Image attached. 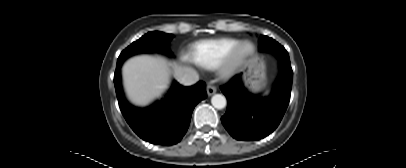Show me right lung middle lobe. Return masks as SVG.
Returning <instances> with one entry per match:
<instances>
[{
    "label": "right lung middle lobe",
    "mask_w": 406,
    "mask_h": 168,
    "mask_svg": "<svg viewBox=\"0 0 406 168\" xmlns=\"http://www.w3.org/2000/svg\"><path fill=\"white\" fill-rule=\"evenodd\" d=\"M172 38V34H166L159 31L149 32L121 52L117 60V65H121L129 57L141 53L157 52L172 56L169 49Z\"/></svg>",
    "instance_id": "1"
}]
</instances>
